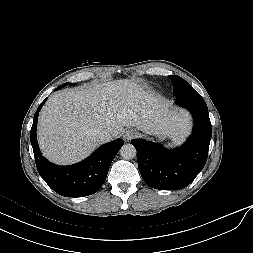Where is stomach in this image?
Returning <instances> with one entry per match:
<instances>
[{
  "label": "stomach",
  "instance_id": "stomach-1",
  "mask_svg": "<svg viewBox=\"0 0 253 253\" xmlns=\"http://www.w3.org/2000/svg\"><path fill=\"white\" fill-rule=\"evenodd\" d=\"M160 139L165 138L167 135L163 134V133H157L156 134Z\"/></svg>",
  "mask_w": 253,
  "mask_h": 253
}]
</instances>
